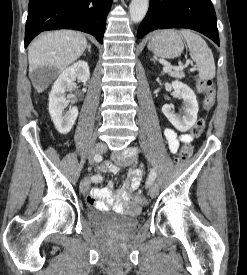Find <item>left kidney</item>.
Masks as SVG:
<instances>
[{
    "label": "left kidney",
    "mask_w": 247,
    "mask_h": 275,
    "mask_svg": "<svg viewBox=\"0 0 247 275\" xmlns=\"http://www.w3.org/2000/svg\"><path fill=\"white\" fill-rule=\"evenodd\" d=\"M172 88L176 95L183 99V115L176 114L168 104L163 105L162 112L177 130L185 132L189 130L197 120L199 107L196 95L190 87L180 81H173Z\"/></svg>",
    "instance_id": "obj_1"
}]
</instances>
